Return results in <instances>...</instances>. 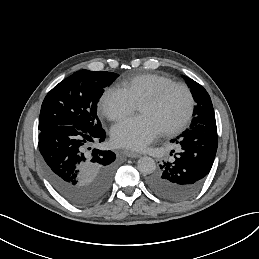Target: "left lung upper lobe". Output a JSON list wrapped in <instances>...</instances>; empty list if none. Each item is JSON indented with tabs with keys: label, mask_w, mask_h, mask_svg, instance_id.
<instances>
[{
	"label": "left lung upper lobe",
	"mask_w": 259,
	"mask_h": 259,
	"mask_svg": "<svg viewBox=\"0 0 259 259\" xmlns=\"http://www.w3.org/2000/svg\"><path fill=\"white\" fill-rule=\"evenodd\" d=\"M183 77L191 89L193 98L196 102V106L194 107L193 111L194 118L192 120L191 126H196L198 124H216L213 105L207 91L194 80L188 78L187 76Z\"/></svg>",
	"instance_id": "left-lung-upper-lobe-1"
}]
</instances>
